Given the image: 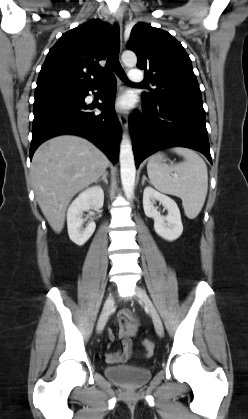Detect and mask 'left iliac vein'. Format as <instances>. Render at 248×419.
Returning <instances> with one entry per match:
<instances>
[{
    "label": "left iliac vein",
    "instance_id": "1",
    "mask_svg": "<svg viewBox=\"0 0 248 419\" xmlns=\"http://www.w3.org/2000/svg\"><path fill=\"white\" fill-rule=\"evenodd\" d=\"M135 297L137 299H140L141 301H143L148 313L150 314V316L153 320V324H154V327H155V330H156L157 334L159 336H163L164 328H163L162 321L159 317V314H158L155 306L153 305L151 299L149 298V296L146 294V292L144 290H142L139 287H136L135 288Z\"/></svg>",
    "mask_w": 248,
    "mask_h": 419
}]
</instances>
